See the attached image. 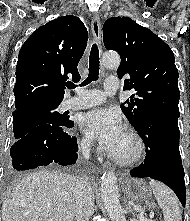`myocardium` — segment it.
Listing matches in <instances>:
<instances>
[{"label":"myocardium","mask_w":190,"mask_h":221,"mask_svg":"<svg viewBox=\"0 0 190 221\" xmlns=\"http://www.w3.org/2000/svg\"><path fill=\"white\" fill-rule=\"evenodd\" d=\"M125 131L133 138L136 143L135 154L130 158H121L114 155L110 151H107V156L118 165L126 167L134 166L142 160L145 154V143L141 135L134 128L126 127Z\"/></svg>","instance_id":"f54148a6"}]
</instances>
